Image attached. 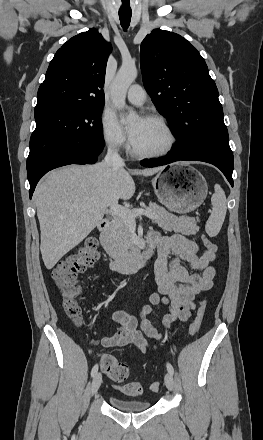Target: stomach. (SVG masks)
Here are the masks:
<instances>
[{"label": "stomach", "instance_id": "obj_1", "mask_svg": "<svg viewBox=\"0 0 263 440\" xmlns=\"http://www.w3.org/2000/svg\"><path fill=\"white\" fill-rule=\"evenodd\" d=\"M158 200L180 214L197 209L205 200L208 186L203 175L193 167L173 166L152 179Z\"/></svg>", "mask_w": 263, "mask_h": 440}]
</instances>
